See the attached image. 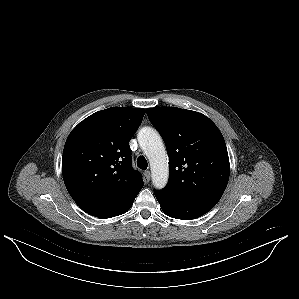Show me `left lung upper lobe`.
<instances>
[{
	"label": "left lung upper lobe",
	"mask_w": 299,
	"mask_h": 299,
	"mask_svg": "<svg viewBox=\"0 0 299 299\" xmlns=\"http://www.w3.org/2000/svg\"><path fill=\"white\" fill-rule=\"evenodd\" d=\"M170 159L169 181L158 192L180 198L219 201L229 180L225 140L206 116L175 107L147 109Z\"/></svg>",
	"instance_id": "left-lung-upper-lobe-1"
}]
</instances>
